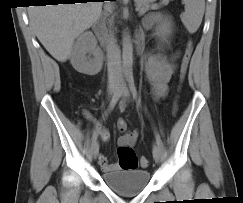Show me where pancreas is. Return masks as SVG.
Masks as SVG:
<instances>
[{"mask_svg":"<svg viewBox=\"0 0 243 203\" xmlns=\"http://www.w3.org/2000/svg\"><path fill=\"white\" fill-rule=\"evenodd\" d=\"M137 8H139L143 13L147 12L149 9H157L158 6H154L152 3L155 0H134ZM169 0H162V5H167Z\"/></svg>","mask_w":243,"mask_h":203,"instance_id":"obj_1","label":"pancreas"}]
</instances>
